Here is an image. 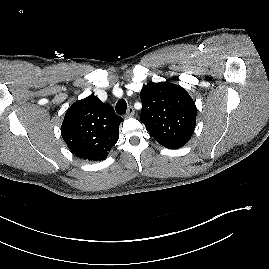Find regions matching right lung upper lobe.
Segmentation results:
<instances>
[{"label":"right lung upper lobe","mask_w":269,"mask_h":269,"mask_svg":"<svg viewBox=\"0 0 269 269\" xmlns=\"http://www.w3.org/2000/svg\"><path fill=\"white\" fill-rule=\"evenodd\" d=\"M123 119L114 109L88 96L75 102L66 112L61 135L67 146L82 159L104 160L119 138V125Z\"/></svg>","instance_id":"right-lung-upper-lobe-1"}]
</instances>
